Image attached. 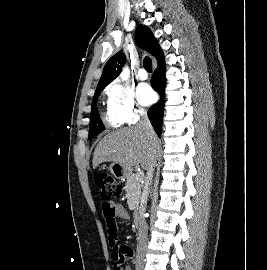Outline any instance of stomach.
<instances>
[{"label": "stomach", "instance_id": "obj_1", "mask_svg": "<svg viewBox=\"0 0 267 270\" xmlns=\"http://www.w3.org/2000/svg\"><path fill=\"white\" fill-rule=\"evenodd\" d=\"M109 170L113 174V176L117 179H126L131 175V169L124 167L123 165L119 163L113 162L109 166Z\"/></svg>", "mask_w": 267, "mask_h": 270}]
</instances>
